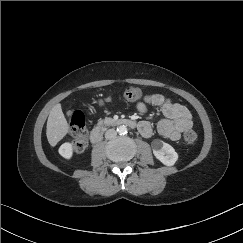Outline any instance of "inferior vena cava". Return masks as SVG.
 <instances>
[{
    "instance_id": "inferior-vena-cava-1",
    "label": "inferior vena cava",
    "mask_w": 243,
    "mask_h": 243,
    "mask_svg": "<svg viewBox=\"0 0 243 243\" xmlns=\"http://www.w3.org/2000/svg\"><path fill=\"white\" fill-rule=\"evenodd\" d=\"M117 135V132L115 129H109L105 133V138L106 139H112Z\"/></svg>"
}]
</instances>
